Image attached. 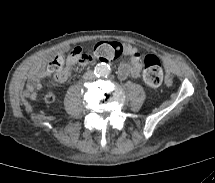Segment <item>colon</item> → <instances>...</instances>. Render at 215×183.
<instances>
[{
  "mask_svg": "<svg viewBox=\"0 0 215 183\" xmlns=\"http://www.w3.org/2000/svg\"><path fill=\"white\" fill-rule=\"evenodd\" d=\"M124 51V46L118 42L99 41L97 42L92 52H85L81 48L72 50L71 55L79 63L99 61L112 62L116 60ZM69 60V56L64 53H56L51 59L48 69L54 75L64 71ZM144 72L143 77L145 82L151 87H157L161 84L163 73L159 58L154 54L143 55ZM55 99V94L50 92L46 95L44 102L49 104Z\"/></svg>",
  "mask_w": 215,
  "mask_h": 183,
  "instance_id": "obj_1",
  "label": "colon"
}]
</instances>
